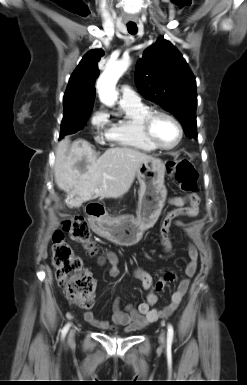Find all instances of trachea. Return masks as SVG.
Listing matches in <instances>:
<instances>
[{
    "label": "trachea",
    "mask_w": 247,
    "mask_h": 385,
    "mask_svg": "<svg viewBox=\"0 0 247 385\" xmlns=\"http://www.w3.org/2000/svg\"><path fill=\"white\" fill-rule=\"evenodd\" d=\"M128 32L130 34H136L138 31L137 25L136 24H128L127 25Z\"/></svg>",
    "instance_id": "obj_1"
}]
</instances>
